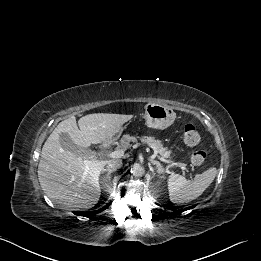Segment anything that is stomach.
<instances>
[{
	"instance_id": "obj_1",
	"label": "stomach",
	"mask_w": 261,
	"mask_h": 261,
	"mask_svg": "<svg viewBox=\"0 0 261 261\" xmlns=\"http://www.w3.org/2000/svg\"><path fill=\"white\" fill-rule=\"evenodd\" d=\"M145 120L146 125L149 128L154 129H165L174 123L176 118V113L173 109L167 105L149 103L145 105ZM123 127L121 126L119 130L110 138V140H115L122 133Z\"/></svg>"
}]
</instances>
